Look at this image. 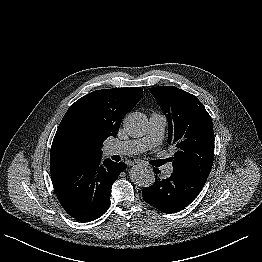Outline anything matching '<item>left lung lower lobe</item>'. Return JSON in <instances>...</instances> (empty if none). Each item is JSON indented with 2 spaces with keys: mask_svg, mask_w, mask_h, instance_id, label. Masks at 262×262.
<instances>
[{
  "mask_svg": "<svg viewBox=\"0 0 262 262\" xmlns=\"http://www.w3.org/2000/svg\"><path fill=\"white\" fill-rule=\"evenodd\" d=\"M159 174L158 169H153ZM206 181L186 175L180 171H173L166 179L156 176L155 183L143 189V199L165 213H174L187 207L201 192Z\"/></svg>",
  "mask_w": 262,
  "mask_h": 262,
  "instance_id": "1",
  "label": "left lung lower lobe"
}]
</instances>
